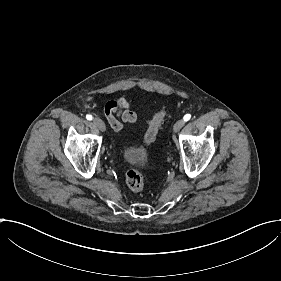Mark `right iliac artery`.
Returning a JSON list of instances; mask_svg holds the SVG:
<instances>
[{
  "label": "right iliac artery",
  "mask_w": 281,
  "mask_h": 281,
  "mask_svg": "<svg viewBox=\"0 0 281 281\" xmlns=\"http://www.w3.org/2000/svg\"><path fill=\"white\" fill-rule=\"evenodd\" d=\"M86 119H87V120H92V119H93V117H92V115L87 114V115H86Z\"/></svg>",
  "instance_id": "1"
}]
</instances>
